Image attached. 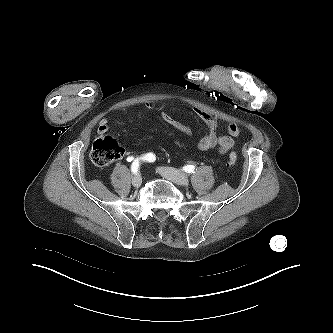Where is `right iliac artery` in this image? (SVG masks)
I'll use <instances>...</instances> for the list:
<instances>
[{"label":"right iliac artery","mask_w":333,"mask_h":333,"mask_svg":"<svg viewBox=\"0 0 333 333\" xmlns=\"http://www.w3.org/2000/svg\"><path fill=\"white\" fill-rule=\"evenodd\" d=\"M156 157L153 153H147L142 155L140 158H136L131 165V172L136 174L139 170L140 161L154 162Z\"/></svg>","instance_id":"right-iliac-artery-1"}]
</instances>
